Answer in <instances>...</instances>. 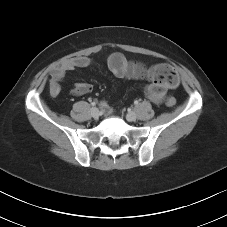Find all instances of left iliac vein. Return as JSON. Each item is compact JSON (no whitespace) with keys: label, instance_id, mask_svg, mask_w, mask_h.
<instances>
[{"label":"left iliac vein","instance_id":"left-iliac-vein-1","mask_svg":"<svg viewBox=\"0 0 227 227\" xmlns=\"http://www.w3.org/2000/svg\"><path fill=\"white\" fill-rule=\"evenodd\" d=\"M136 113L134 112V111H130V112H128L127 113V115H126V119L128 120V121H134V120H136Z\"/></svg>","mask_w":227,"mask_h":227}]
</instances>
